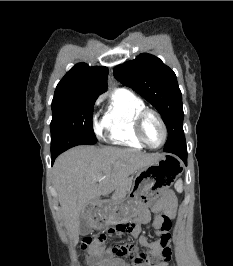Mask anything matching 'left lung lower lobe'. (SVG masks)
<instances>
[{"mask_svg":"<svg viewBox=\"0 0 233 266\" xmlns=\"http://www.w3.org/2000/svg\"><path fill=\"white\" fill-rule=\"evenodd\" d=\"M164 151L179 156L183 160V162L187 165V148L184 136L177 139L171 145L164 147Z\"/></svg>","mask_w":233,"mask_h":266,"instance_id":"1","label":"left lung lower lobe"}]
</instances>
